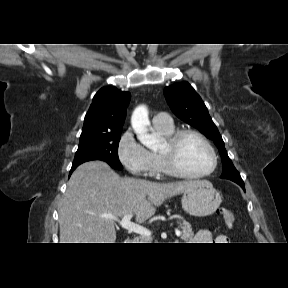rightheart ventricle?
I'll return each instance as SVG.
<instances>
[{
	"instance_id": "obj_1",
	"label": "right heart ventricle",
	"mask_w": 288,
	"mask_h": 288,
	"mask_svg": "<svg viewBox=\"0 0 288 288\" xmlns=\"http://www.w3.org/2000/svg\"><path fill=\"white\" fill-rule=\"evenodd\" d=\"M155 127V126H154ZM155 131L162 136L163 138L169 137L171 134L175 132V127L172 125L169 128H160V127H155ZM152 163H153V168L156 172L157 175H172L165 167L159 152H152Z\"/></svg>"
}]
</instances>
